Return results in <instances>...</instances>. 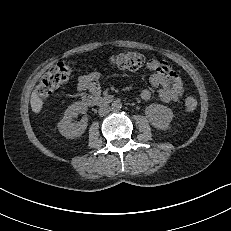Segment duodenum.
I'll return each mask as SVG.
<instances>
[{
    "mask_svg": "<svg viewBox=\"0 0 231 231\" xmlns=\"http://www.w3.org/2000/svg\"><path fill=\"white\" fill-rule=\"evenodd\" d=\"M114 100V97L112 95H106L103 97L95 96L91 94H85L82 97V101L87 106H103L108 105Z\"/></svg>",
    "mask_w": 231,
    "mask_h": 231,
    "instance_id": "1",
    "label": "duodenum"
}]
</instances>
